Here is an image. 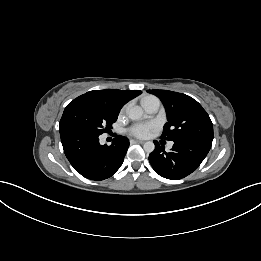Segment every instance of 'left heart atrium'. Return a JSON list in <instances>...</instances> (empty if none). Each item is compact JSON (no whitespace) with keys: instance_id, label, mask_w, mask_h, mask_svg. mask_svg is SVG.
<instances>
[{"instance_id":"left-heart-atrium-1","label":"left heart atrium","mask_w":261,"mask_h":261,"mask_svg":"<svg viewBox=\"0 0 261 261\" xmlns=\"http://www.w3.org/2000/svg\"><path fill=\"white\" fill-rule=\"evenodd\" d=\"M152 129V124H136L130 128V133L136 137H146Z\"/></svg>"}]
</instances>
